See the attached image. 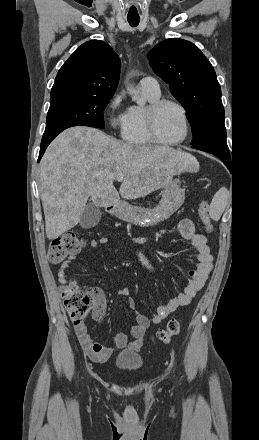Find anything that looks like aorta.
<instances>
[{
    "label": "aorta",
    "instance_id": "762f6f07",
    "mask_svg": "<svg viewBox=\"0 0 259 440\" xmlns=\"http://www.w3.org/2000/svg\"><path fill=\"white\" fill-rule=\"evenodd\" d=\"M128 93L131 95L132 99L138 104L143 105L145 100L139 95V91L133 87L127 88Z\"/></svg>",
    "mask_w": 259,
    "mask_h": 440
}]
</instances>
